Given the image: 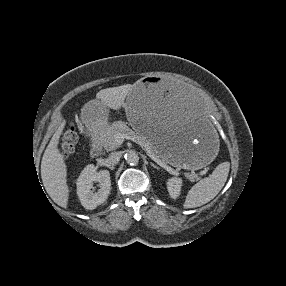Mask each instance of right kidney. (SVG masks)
<instances>
[{
  "label": "right kidney",
  "instance_id": "right-kidney-1",
  "mask_svg": "<svg viewBox=\"0 0 286 286\" xmlns=\"http://www.w3.org/2000/svg\"><path fill=\"white\" fill-rule=\"evenodd\" d=\"M99 182V189L94 192L93 182ZM77 194L81 204L89 210L104 203L111 190L110 173L108 170L97 171L92 164L87 165L77 179Z\"/></svg>",
  "mask_w": 286,
  "mask_h": 286
}]
</instances>
